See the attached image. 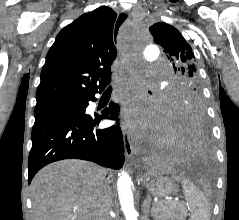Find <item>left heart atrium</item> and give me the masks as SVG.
<instances>
[{"mask_svg": "<svg viewBox=\"0 0 239 220\" xmlns=\"http://www.w3.org/2000/svg\"><path fill=\"white\" fill-rule=\"evenodd\" d=\"M125 112L128 117V123L130 127L142 134L145 131L152 130L155 127V118L152 116L154 107L152 104L140 97H124ZM141 113L144 116L141 119L132 118L135 114Z\"/></svg>", "mask_w": 239, "mask_h": 220, "instance_id": "1", "label": "left heart atrium"}]
</instances>
